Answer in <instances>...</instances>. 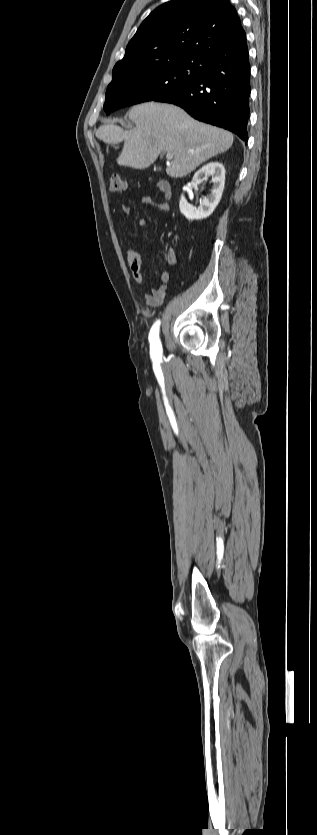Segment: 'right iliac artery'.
Returning a JSON list of instances; mask_svg holds the SVG:
<instances>
[{"label": "right iliac artery", "mask_w": 317, "mask_h": 835, "mask_svg": "<svg viewBox=\"0 0 317 835\" xmlns=\"http://www.w3.org/2000/svg\"><path fill=\"white\" fill-rule=\"evenodd\" d=\"M160 320L156 321L149 333L150 354L153 360H159L162 356V345L159 338Z\"/></svg>", "instance_id": "right-iliac-artery-1"}]
</instances>
